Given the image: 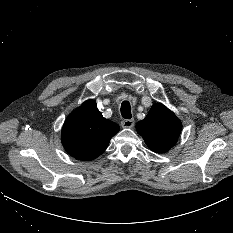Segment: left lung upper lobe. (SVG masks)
Here are the masks:
<instances>
[{
	"instance_id": "5c2ea615",
	"label": "left lung upper lobe",
	"mask_w": 233,
	"mask_h": 233,
	"mask_svg": "<svg viewBox=\"0 0 233 233\" xmlns=\"http://www.w3.org/2000/svg\"><path fill=\"white\" fill-rule=\"evenodd\" d=\"M181 129V121L161 103L153 105L146 118L136 124V130L147 146L157 153H164L172 148Z\"/></svg>"
}]
</instances>
